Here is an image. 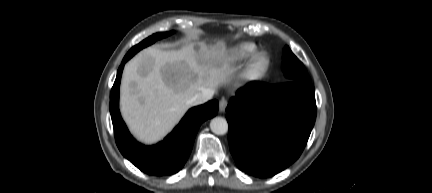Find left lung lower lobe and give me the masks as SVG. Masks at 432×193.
<instances>
[{"label": "left lung lower lobe", "instance_id": "1", "mask_svg": "<svg viewBox=\"0 0 432 193\" xmlns=\"http://www.w3.org/2000/svg\"><path fill=\"white\" fill-rule=\"evenodd\" d=\"M228 141L238 168L266 178L287 168L302 153L316 119L311 82L240 88L227 106Z\"/></svg>", "mask_w": 432, "mask_h": 193}]
</instances>
